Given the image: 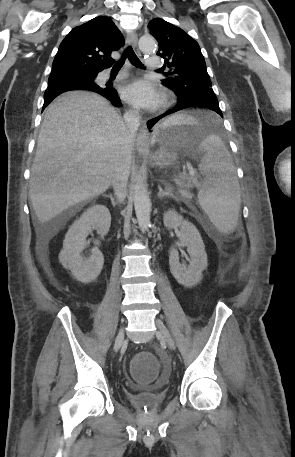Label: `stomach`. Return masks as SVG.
Wrapping results in <instances>:
<instances>
[{"label":"stomach","instance_id":"stomach-1","mask_svg":"<svg viewBox=\"0 0 295 457\" xmlns=\"http://www.w3.org/2000/svg\"><path fill=\"white\" fill-rule=\"evenodd\" d=\"M209 135L206 123L197 119L196 123H178L159 126L152 134V142L159 145V149L148 157L150 163L166 167L175 164L178 152L187 146L200 149V144Z\"/></svg>","mask_w":295,"mask_h":457}]
</instances>
